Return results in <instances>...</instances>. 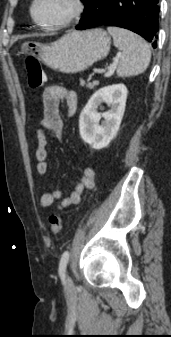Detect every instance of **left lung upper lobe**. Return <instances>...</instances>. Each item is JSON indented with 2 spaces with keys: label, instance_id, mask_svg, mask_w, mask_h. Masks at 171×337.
I'll use <instances>...</instances> for the list:
<instances>
[{
  "label": "left lung upper lobe",
  "instance_id": "5c2ea615",
  "mask_svg": "<svg viewBox=\"0 0 171 337\" xmlns=\"http://www.w3.org/2000/svg\"><path fill=\"white\" fill-rule=\"evenodd\" d=\"M81 1L84 3L85 9H86V7H87V5H88V3H89L90 0H81ZM85 9H84V11H85Z\"/></svg>",
  "mask_w": 171,
  "mask_h": 337
}]
</instances>
